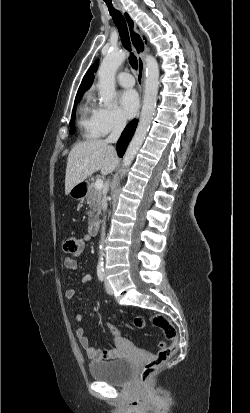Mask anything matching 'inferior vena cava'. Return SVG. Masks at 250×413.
Wrapping results in <instances>:
<instances>
[{"label": "inferior vena cava", "instance_id": "inferior-vena-cava-1", "mask_svg": "<svg viewBox=\"0 0 250 413\" xmlns=\"http://www.w3.org/2000/svg\"><path fill=\"white\" fill-rule=\"evenodd\" d=\"M125 126H126V119L124 117H119L116 120L115 124H114V127L112 129L111 134L107 137L105 142L107 144L116 143L118 141L122 131L124 130ZM106 209H107V201L104 200L103 201V210L106 211ZM103 222H104V225H105V221H103ZM104 225L102 227V241L104 239V229H105Z\"/></svg>", "mask_w": 250, "mask_h": 413}]
</instances>
